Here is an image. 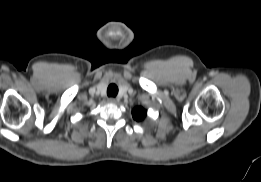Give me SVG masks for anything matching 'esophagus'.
I'll use <instances>...</instances> for the list:
<instances>
[{
    "label": "esophagus",
    "instance_id": "obj_1",
    "mask_svg": "<svg viewBox=\"0 0 261 182\" xmlns=\"http://www.w3.org/2000/svg\"><path fill=\"white\" fill-rule=\"evenodd\" d=\"M108 102H109V103H116L117 100H116L115 98H113V97H110V98L108 99Z\"/></svg>",
    "mask_w": 261,
    "mask_h": 182
}]
</instances>
